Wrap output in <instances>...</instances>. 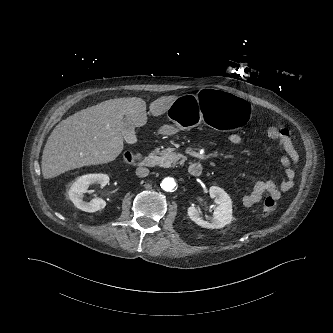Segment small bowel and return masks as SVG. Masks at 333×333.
I'll use <instances>...</instances> for the list:
<instances>
[{"label": "small bowel", "instance_id": "c3829d8e", "mask_svg": "<svg viewBox=\"0 0 333 333\" xmlns=\"http://www.w3.org/2000/svg\"><path fill=\"white\" fill-rule=\"evenodd\" d=\"M271 128L277 131L276 136L269 138L278 141L282 154L281 164L284 167L285 178L279 186L270 180L256 182L252 191L243 197L242 201L246 207H252L258 203L264 195H270L279 200L284 193L288 192L294 186L295 171L292 165H296L299 161L298 152L287 129L277 127H269L268 129ZM228 140L231 144L237 145L240 143L241 137L237 133H232L229 135Z\"/></svg>", "mask_w": 333, "mask_h": 333}]
</instances>
